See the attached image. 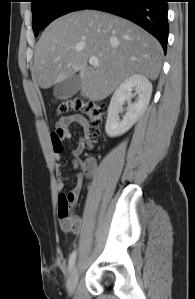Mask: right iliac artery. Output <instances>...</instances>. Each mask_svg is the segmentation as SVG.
I'll list each match as a JSON object with an SVG mask.
<instances>
[{
    "mask_svg": "<svg viewBox=\"0 0 195 299\" xmlns=\"http://www.w3.org/2000/svg\"><path fill=\"white\" fill-rule=\"evenodd\" d=\"M76 255H77V252H76V250H74L69 258V263H68L69 271L73 268V266L75 264Z\"/></svg>",
    "mask_w": 195,
    "mask_h": 299,
    "instance_id": "1",
    "label": "right iliac artery"
}]
</instances>
